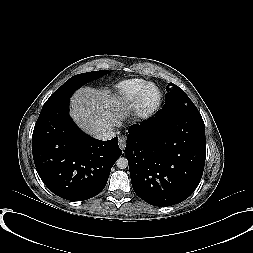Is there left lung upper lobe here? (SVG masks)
<instances>
[{"label": "left lung upper lobe", "instance_id": "5c2ea615", "mask_svg": "<svg viewBox=\"0 0 253 253\" xmlns=\"http://www.w3.org/2000/svg\"><path fill=\"white\" fill-rule=\"evenodd\" d=\"M165 105L157 114L176 111L184 113L199 112L186 93L175 84H168Z\"/></svg>", "mask_w": 253, "mask_h": 253}]
</instances>
